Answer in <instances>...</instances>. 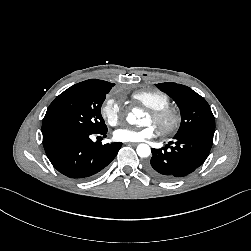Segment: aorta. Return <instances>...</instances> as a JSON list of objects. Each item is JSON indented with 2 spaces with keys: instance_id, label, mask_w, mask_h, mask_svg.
<instances>
[{
  "instance_id": "obj_1",
  "label": "aorta",
  "mask_w": 251,
  "mask_h": 251,
  "mask_svg": "<svg viewBox=\"0 0 251 251\" xmlns=\"http://www.w3.org/2000/svg\"><path fill=\"white\" fill-rule=\"evenodd\" d=\"M143 116L142 110L134 108L132 112L127 115V122L129 124H137L138 118ZM137 154L140 157H148L151 154V149L147 144H139L136 148Z\"/></svg>"
}]
</instances>
